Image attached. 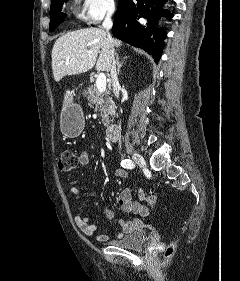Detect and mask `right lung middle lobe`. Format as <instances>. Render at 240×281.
I'll return each instance as SVG.
<instances>
[{"instance_id": "right-lung-middle-lobe-1", "label": "right lung middle lobe", "mask_w": 240, "mask_h": 281, "mask_svg": "<svg viewBox=\"0 0 240 281\" xmlns=\"http://www.w3.org/2000/svg\"><path fill=\"white\" fill-rule=\"evenodd\" d=\"M68 0H51L49 31H53L63 20V13L60 12L63 3Z\"/></svg>"}]
</instances>
